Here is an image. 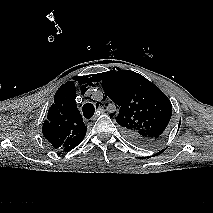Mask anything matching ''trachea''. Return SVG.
<instances>
[{"label":"trachea","instance_id":"1","mask_svg":"<svg viewBox=\"0 0 213 213\" xmlns=\"http://www.w3.org/2000/svg\"><path fill=\"white\" fill-rule=\"evenodd\" d=\"M83 115L85 118L89 119L94 115L95 107L91 103H86L82 107Z\"/></svg>","mask_w":213,"mask_h":213}]
</instances>
